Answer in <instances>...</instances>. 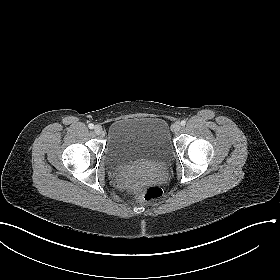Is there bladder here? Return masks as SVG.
Masks as SVG:
<instances>
[{
    "instance_id": "bladder-1",
    "label": "bladder",
    "mask_w": 280,
    "mask_h": 280,
    "mask_svg": "<svg viewBox=\"0 0 280 280\" xmlns=\"http://www.w3.org/2000/svg\"><path fill=\"white\" fill-rule=\"evenodd\" d=\"M167 122L158 117L122 118L113 121L107 133L104 160L112 169L140 161L163 163L172 155Z\"/></svg>"
}]
</instances>
